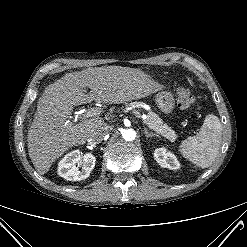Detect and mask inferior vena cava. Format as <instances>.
<instances>
[{
  "instance_id": "602c4592",
  "label": "inferior vena cava",
  "mask_w": 247,
  "mask_h": 247,
  "mask_svg": "<svg viewBox=\"0 0 247 247\" xmlns=\"http://www.w3.org/2000/svg\"><path fill=\"white\" fill-rule=\"evenodd\" d=\"M107 134V130L104 127H100L97 130L93 131L89 138L88 141L89 142H94V143H100L101 141H103L104 137Z\"/></svg>"
}]
</instances>
